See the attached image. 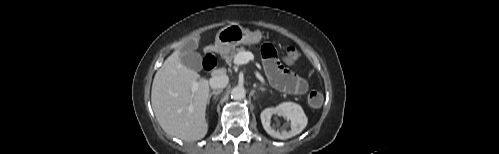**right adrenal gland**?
I'll list each match as a JSON object with an SVG mask.
<instances>
[{"mask_svg": "<svg viewBox=\"0 0 499 154\" xmlns=\"http://www.w3.org/2000/svg\"><path fill=\"white\" fill-rule=\"evenodd\" d=\"M220 93H221V90L212 91V92L209 94V96H208L207 104L209 105V102H210V99H211L212 95H214V99H215V98H216V96H217L218 94H220Z\"/></svg>", "mask_w": 499, "mask_h": 154, "instance_id": "obj_1", "label": "right adrenal gland"}]
</instances>
